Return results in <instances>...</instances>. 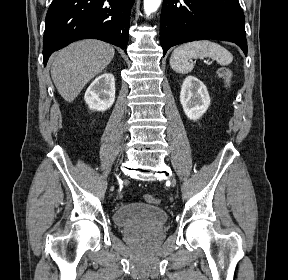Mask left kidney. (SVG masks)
<instances>
[{
  "label": "left kidney",
  "instance_id": "1",
  "mask_svg": "<svg viewBox=\"0 0 288 280\" xmlns=\"http://www.w3.org/2000/svg\"><path fill=\"white\" fill-rule=\"evenodd\" d=\"M180 103L190 120L199 119L210 105L206 86L194 76L186 77L181 86Z\"/></svg>",
  "mask_w": 288,
  "mask_h": 280
}]
</instances>
